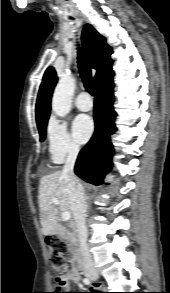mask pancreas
I'll return each instance as SVG.
<instances>
[{"mask_svg":"<svg viewBox=\"0 0 170 293\" xmlns=\"http://www.w3.org/2000/svg\"><path fill=\"white\" fill-rule=\"evenodd\" d=\"M59 238L64 240L67 246L71 247V251L73 254H76L78 244H77V235L74 229L72 231L61 229L59 231Z\"/></svg>","mask_w":170,"mask_h":293,"instance_id":"pancreas-1","label":"pancreas"}]
</instances>
